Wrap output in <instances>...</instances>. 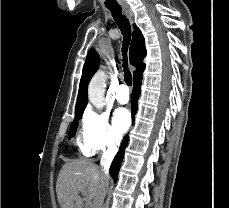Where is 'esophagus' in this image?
I'll return each mask as SVG.
<instances>
[{
  "label": "esophagus",
  "mask_w": 229,
  "mask_h": 208,
  "mask_svg": "<svg viewBox=\"0 0 229 208\" xmlns=\"http://www.w3.org/2000/svg\"><path fill=\"white\" fill-rule=\"evenodd\" d=\"M123 11L125 12L126 16L129 18V20L132 22L133 21V13L128 6L123 7Z\"/></svg>",
  "instance_id": "obj_1"
}]
</instances>
